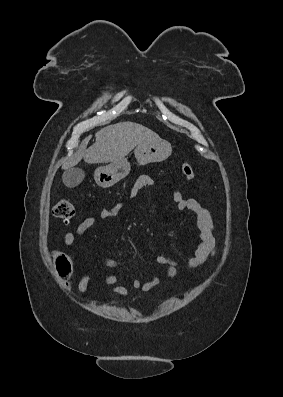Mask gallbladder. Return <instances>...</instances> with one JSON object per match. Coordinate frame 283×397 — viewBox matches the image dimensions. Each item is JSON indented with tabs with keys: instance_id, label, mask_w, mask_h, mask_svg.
<instances>
[{
	"instance_id": "gallbladder-1",
	"label": "gallbladder",
	"mask_w": 283,
	"mask_h": 397,
	"mask_svg": "<svg viewBox=\"0 0 283 397\" xmlns=\"http://www.w3.org/2000/svg\"><path fill=\"white\" fill-rule=\"evenodd\" d=\"M84 177V171L79 168H71L64 172L62 180L66 187L73 188L78 186Z\"/></svg>"
}]
</instances>
